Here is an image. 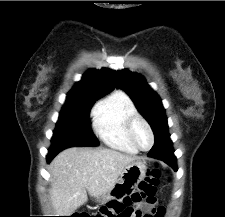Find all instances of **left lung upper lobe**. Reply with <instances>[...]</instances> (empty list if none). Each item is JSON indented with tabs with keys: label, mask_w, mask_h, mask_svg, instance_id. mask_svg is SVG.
<instances>
[{
	"label": "left lung upper lobe",
	"mask_w": 225,
	"mask_h": 217,
	"mask_svg": "<svg viewBox=\"0 0 225 217\" xmlns=\"http://www.w3.org/2000/svg\"><path fill=\"white\" fill-rule=\"evenodd\" d=\"M116 84L131 97L138 111L149 122L155 135V144L150 152L173 153L165 110L157 93L141 75L127 69L116 73Z\"/></svg>",
	"instance_id": "5c2ea615"
}]
</instances>
